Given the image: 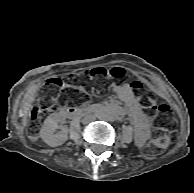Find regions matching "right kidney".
Listing matches in <instances>:
<instances>
[{
    "label": "right kidney",
    "mask_w": 194,
    "mask_h": 193,
    "mask_svg": "<svg viewBox=\"0 0 194 193\" xmlns=\"http://www.w3.org/2000/svg\"><path fill=\"white\" fill-rule=\"evenodd\" d=\"M61 122L62 121L57 114H51L47 117L44 125L42 126L41 138L51 147L60 146L68 139L66 132L62 131L55 134L59 127V123Z\"/></svg>",
    "instance_id": "ca27d5eb"
}]
</instances>
